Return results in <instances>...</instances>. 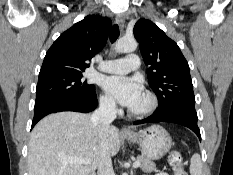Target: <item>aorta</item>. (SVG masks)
Masks as SVG:
<instances>
[{
	"label": "aorta",
	"instance_id": "obj_1",
	"mask_svg": "<svg viewBox=\"0 0 233 175\" xmlns=\"http://www.w3.org/2000/svg\"><path fill=\"white\" fill-rule=\"evenodd\" d=\"M137 48V42L135 39L121 38L115 45V51L117 53L133 52Z\"/></svg>",
	"mask_w": 233,
	"mask_h": 175
}]
</instances>
